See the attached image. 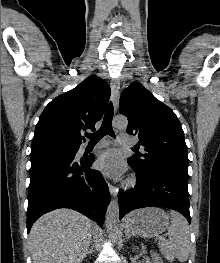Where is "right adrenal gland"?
<instances>
[{"label": "right adrenal gland", "mask_w": 220, "mask_h": 263, "mask_svg": "<svg viewBox=\"0 0 220 263\" xmlns=\"http://www.w3.org/2000/svg\"><path fill=\"white\" fill-rule=\"evenodd\" d=\"M94 244L91 243V248L86 252L85 257H87L89 254H92L94 252Z\"/></svg>", "instance_id": "2a0ac1e0"}]
</instances>
